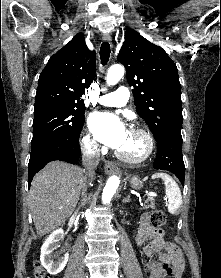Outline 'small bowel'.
<instances>
[{
	"label": "small bowel",
	"mask_w": 221,
	"mask_h": 278,
	"mask_svg": "<svg viewBox=\"0 0 221 278\" xmlns=\"http://www.w3.org/2000/svg\"><path fill=\"white\" fill-rule=\"evenodd\" d=\"M136 243L143 245L145 256L151 257L155 253L160 256V261L152 260L145 264L144 269L148 278H164L163 264L171 265L177 278L181 275L185 262L180 249L163 239V230L151 224L149 214H144L141 218Z\"/></svg>",
	"instance_id": "small-bowel-1"
}]
</instances>
